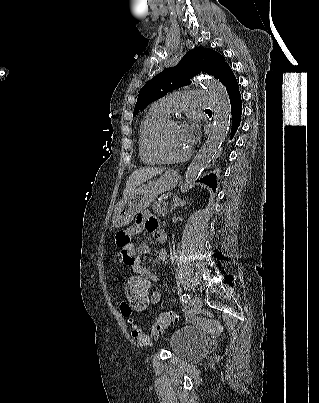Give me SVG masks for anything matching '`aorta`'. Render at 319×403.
<instances>
[{"mask_svg": "<svg viewBox=\"0 0 319 403\" xmlns=\"http://www.w3.org/2000/svg\"><path fill=\"white\" fill-rule=\"evenodd\" d=\"M209 93L214 107V123L208 139L196 154L185 173V185L190 186L207 167L224 142L231 118L230 100L226 88L215 78L208 77L201 82Z\"/></svg>", "mask_w": 319, "mask_h": 403, "instance_id": "1", "label": "aorta"}]
</instances>
